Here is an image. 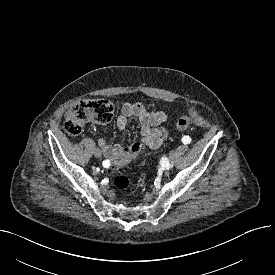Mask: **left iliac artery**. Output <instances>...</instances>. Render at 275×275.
Returning a JSON list of instances; mask_svg holds the SVG:
<instances>
[{"mask_svg": "<svg viewBox=\"0 0 275 275\" xmlns=\"http://www.w3.org/2000/svg\"><path fill=\"white\" fill-rule=\"evenodd\" d=\"M182 142L184 143V144H189L190 142H191V138L189 137V136H184L183 138H182Z\"/></svg>", "mask_w": 275, "mask_h": 275, "instance_id": "44dca946", "label": "left iliac artery"}]
</instances>
